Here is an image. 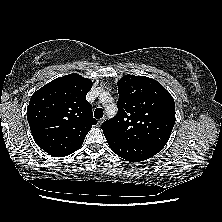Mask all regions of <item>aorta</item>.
Wrapping results in <instances>:
<instances>
[{"mask_svg":"<svg viewBox=\"0 0 222 222\" xmlns=\"http://www.w3.org/2000/svg\"><path fill=\"white\" fill-rule=\"evenodd\" d=\"M101 96L103 99L109 98L108 93H103ZM105 110L108 115H114L117 112V107L115 104L112 103V104L107 105Z\"/></svg>","mask_w":222,"mask_h":222,"instance_id":"1","label":"aorta"}]
</instances>
